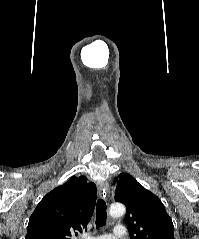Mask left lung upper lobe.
I'll list each match as a JSON object with an SVG mask.
<instances>
[{
  "mask_svg": "<svg viewBox=\"0 0 199 239\" xmlns=\"http://www.w3.org/2000/svg\"><path fill=\"white\" fill-rule=\"evenodd\" d=\"M115 200L126 205L131 239H174V225L161 200L127 173H121Z\"/></svg>",
  "mask_w": 199,
  "mask_h": 239,
  "instance_id": "obj_1",
  "label": "left lung upper lobe"
}]
</instances>
